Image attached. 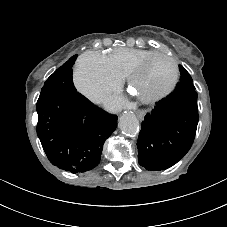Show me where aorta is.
<instances>
[{"label":"aorta","mask_w":227,"mask_h":227,"mask_svg":"<svg viewBox=\"0 0 227 227\" xmlns=\"http://www.w3.org/2000/svg\"><path fill=\"white\" fill-rule=\"evenodd\" d=\"M119 127L122 133L128 136L136 135L139 131V121L135 114L125 112L119 120Z\"/></svg>","instance_id":"obj_1"}]
</instances>
